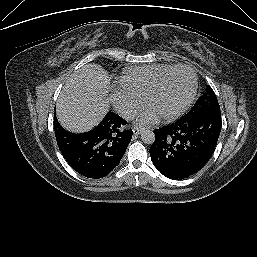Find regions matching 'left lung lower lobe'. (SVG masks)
<instances>
[{"instance_id": "obj_1", "label": "left lung lower lobe", "mask_w": 257, "mask_h": 257, "mask_svg": "<svg viewBox=\"0 0 257 257\" xmlns=\"http://www.w3.org/2000/svg\"><path fill=\"white\" fill-rule=\"evenodd\" d=\"M221 113L183 116L154 130L150 155L167 178L181 180L197 173L211 158L221 131Z\"/></svg>"}]
</instances>
